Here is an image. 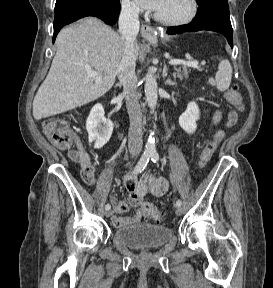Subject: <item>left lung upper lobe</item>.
<instances>
[{
  "label": "left lung upper lobe",
  "mask_w": 273,
  "mask_h": 288,
  "mask_svg": "<svg viewBox=\"0 0 273 288\" xmlns=\"http://www.w3.org/2000/svg\"><path fill=\"white\" fill-rule=\"evenodd\" d=\"M213 1V0H197V4L200 5L204 2Z\"/></svg>",
  "instance_id": "obj_1"
}]
</instances>
